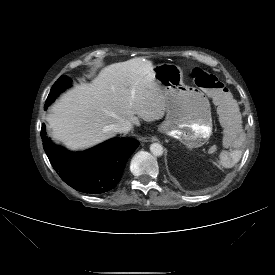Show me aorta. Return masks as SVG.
Listing matches in <instances>:
<instances>
[{
	"mask_svg": "<svg viewBox=\"0 0 275 275\" xmlns=\"http://www.w3.org/2000/svg\"><path fill=\"white\" fill-rule=\"evenodd\" d=\"M150 151L154 156H161L163 154V147L159 143H153L150 145Z\"/></svg>",
	"mask_w": 275,
	"mask_h": 275,
	"instance_id": "1",
	"label": "aorta"
}]
</instances>
